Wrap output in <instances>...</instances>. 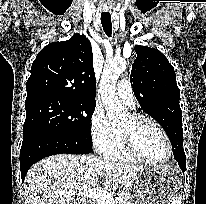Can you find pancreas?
<instances>
[{
    "mask_svg": "<svg viewBox=\"0 0 206 204\" xmlns=\"http://www.w3.org/2000/svg\"><path fill=\"white\" fill-rule=\"evenodd\" d=\"M118 196L122 197V200L115 204H132L130 200V195L126 190H122L118 192Z\"/></svg>",
    "mask_w": 206,
    "mask_h": 204,
    "instance_id": "cf45deb5",
    "label": "pancreas"
}]
</instances>
